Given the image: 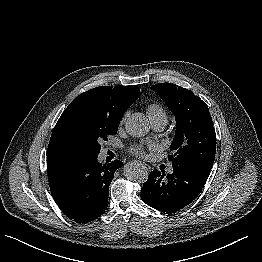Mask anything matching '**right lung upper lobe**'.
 <instances>
[{"mask_svg":"<svg viewBox=\"0 0 262 262\" xmlns=\"http://www.w3.org/2000/svg\"><path fill=\"white\" fill-rule=\"evenodd\" d=\"M140 95V86H101L77 96L64 112L73 108L83 107L120 123L125 111Z\"/></svg>","mask_w":262,"mask_h":262,"instance_id":"1","label":"right lung upper lobe"}]
</instances>
